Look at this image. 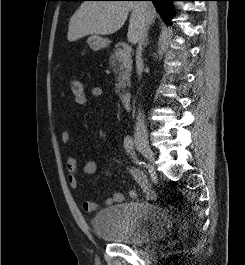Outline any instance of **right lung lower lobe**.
Segmentation results:
<instances>
[{
	"instance_id": "1",
	"label": "right lung lower lobe",
	"mask_w": 245,
	"mask_h": 265,
	"mask_svg": "<svg viewBox=\"0 0 245 265\" xmlns=\"http://www.w3.org/2000/svg\"><path fill=\"white\" fill-rule=\"evenodd\" d=\"M126 1H140V0H126ZM152 1L163 20L167 24H171L172 18V2L177 0H148Z\"/></svg>"
}]
</instances>
